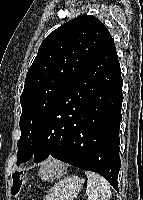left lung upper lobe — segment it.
Listing matches in <instances>:
<instances>
[{"mask_svg": "<svg viewBox=\"0 0 143 200\" xmlns=\"http://www.w3.org/2000/svg\"><path fill=\"white\" fill-rule=\"evenodd\" d=\"M111 40L109 31L98 18L81 15L54 30L42 42L20 97L18 165L33 157L48 115L63 93ZM64 114L65 111L60 112L55 117L56 122Z\"/></svg>", "mask_w": 143, "mask_h": 200, "instance_id": "left-lung-upper-lobe-1", "label": "left lung upper lobe"}]
</instances>
